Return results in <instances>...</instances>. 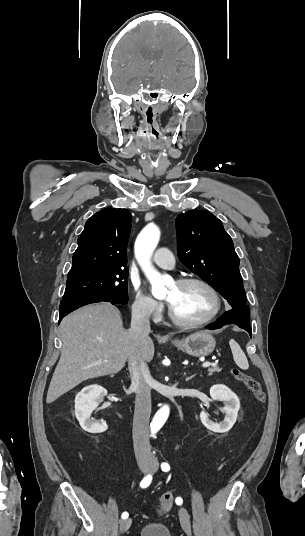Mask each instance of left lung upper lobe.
Returning a JSON list of instances; mask_svg holds the SVG:
<instances>
[{"label":"left lung upper lobe","mask_w":305,"mask_h":536,"mask_svg":"<svg viewBox=\"0 0 305 536\" xmlns=\"http://www.w3.org/2000/svg\"><path fill=\"white\" fill-rule=\"evenodd\" d=\"M180 261L228 301L232 309L246 306L239 257L222 222L206 210H191L176 218Z\"/></svg>","instance_id":"5c2ea615"}]
</instances>
